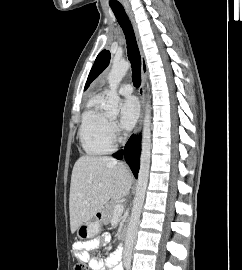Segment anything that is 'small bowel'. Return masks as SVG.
<instances>
[{
	"label": "small bowel",
	"instance_id": "obj_1",
	"mask_svg": "<svg viewBox=\"0 0 242 270\" xmlns=\"http://www.w3.org/2000/svg\"><path fill=\"white\" fill-rule=\"evenodd\" d=\"M108 239V235H103L101 238L80 243L78 246V251L80 252L79 257L89 262L94 270H122L121 256L119 253H113L105 259L92 256L95 250L106 245Z\"/></svg>",
	"mask_w": 242,
	"mask_h": 270
}]
</instances>
